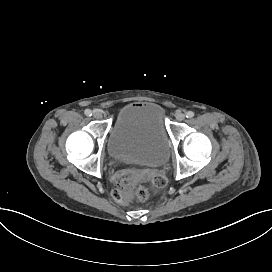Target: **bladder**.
<instances>
[{
	"mask_svg": "<svg viewBox=\"0 0 272 272\" xmlns=\"http://www.w3.org/2000/svg\"><path fill=\"white\" fill-rule=\"evenodd\" d=\"M109 155L117 160L134 161L149 167L167 163L169 145L158 104L123 107L106 140Z\"/></svg>",
	"mask_w": 272,
	"mask_h": 272,
	"instance_id": "obj_1",
	"label": "bladder"
}]
</instances>
